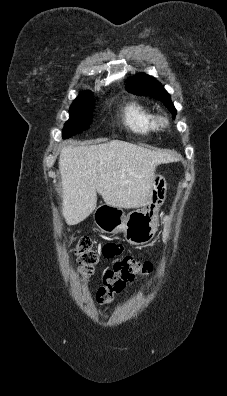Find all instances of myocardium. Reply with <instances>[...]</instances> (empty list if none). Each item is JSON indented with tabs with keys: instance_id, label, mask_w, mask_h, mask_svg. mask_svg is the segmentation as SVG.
Returning <instances> with one entry per match:
<instances>
[{
	"instance_id": "1",
	"label": "myocardium",
	"mask_w": 227,
	"mask_h": 396,
	"mask_svg": "<svg viewBox=\"0 0 227 396\" xmlns=\"http://www.w3.org/2000/svg\"><path fill=\"white\" fill-rule=\"evenodd\" d=\"M156 122H157L158 127L163 130L169 128V126H170V120L164 114L157 115Z\"/></svg>"
}]
</instances>
